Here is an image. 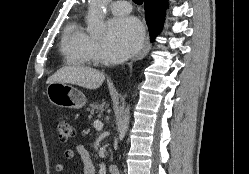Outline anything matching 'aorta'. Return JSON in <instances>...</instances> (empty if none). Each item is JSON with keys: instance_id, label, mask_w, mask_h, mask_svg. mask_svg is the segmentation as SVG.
Wrapping results in <instances>:
<instances>
[{"instance_id": "1", "label": "aorta", "mask_w": 249, "mask_h": 174, "mask_svg": "<svg viewBox=\"0 0 249 174\" xmlns=\"http://www.w3.org/2000/svg\"><path fill=\"white\" fill-rule=\"evenodd\" d=\"M111 0H88L87 30L92 36H100L105 30L104 8ZM129 107L125 109L122 133L125 134L129 127Z\"/></svg>"}]
</instances>
